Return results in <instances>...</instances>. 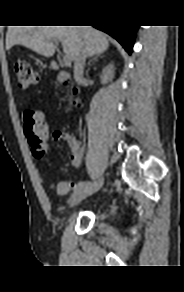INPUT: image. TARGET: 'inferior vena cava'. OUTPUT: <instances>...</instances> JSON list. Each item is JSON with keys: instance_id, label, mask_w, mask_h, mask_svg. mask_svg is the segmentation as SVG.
Instances as JSON below:
<instances>
[{"instance_id": "obj_1", "label": "inferior vena cava", "mask_w": 184, "mask_h": 292, "mask_svg": "<svg viewBox=\"0 0 184 292\" xmlns=\"http://www.w3.org/2000/svg\"><path fill=\"white\" fill-rule=\"evenodd\" d=\"M86 54L82 49L74 60V79L80 85L84 82L83 72L85 67Z\"/></svg>"}]
</instances>
